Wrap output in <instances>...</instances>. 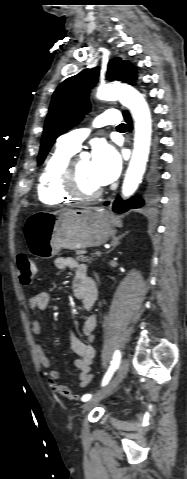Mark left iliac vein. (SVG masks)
Masks as SVG:
<instances>
[{
    "instance_id": "1",
    "label": "left iliac vein",
    "mask_w": 187,
    "mask_h": 479,
    "mask_svg": "<svg viewBox=\"0 0 187 479\" xmlns=\"http://www.w3.org/2000/svg\"><path fill=\"white\" fill-rule=\"evenodd\" d=\"M129 369V362L126 358H124L118 368V371L115 377L92 399L88 400L86 403L82 405L84 411L90 410L93 406H95L100 400L108 396L116 387L117 385L125 378Z\"/></svg>"
}]
</instances>
